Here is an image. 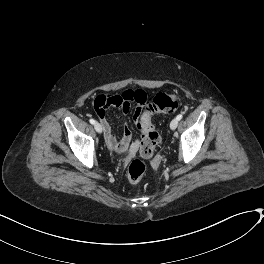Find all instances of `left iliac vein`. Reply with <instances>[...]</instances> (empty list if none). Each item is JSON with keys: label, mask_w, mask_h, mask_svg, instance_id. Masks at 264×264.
Instances as JSON below:
<instances>
[{"label": "left iliac vein", "mask_w": 264, "mask_h": 264, "mask_svg": "<svg viewBox=\"0 0 264 264\" xmlns=\"http://www.w3.org/2000/svg\"><path fill=\"white\" fill-rule=\"evenodd\" d=\"M178 122H179V120H178L177 118H174V119L171 121V123H170V128H171L172 130H175V129L177 128V126H178Z\"/></svg>", "instance_id": "obj_1"}]
</instances>
